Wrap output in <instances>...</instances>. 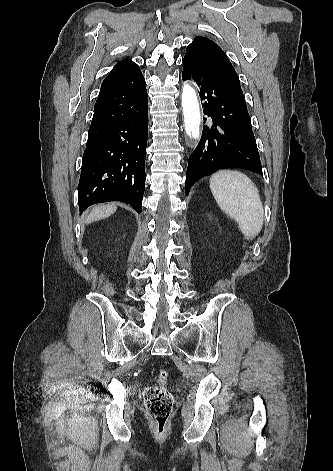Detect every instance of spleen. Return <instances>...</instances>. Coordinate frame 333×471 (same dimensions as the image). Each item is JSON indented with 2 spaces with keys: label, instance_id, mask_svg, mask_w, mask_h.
Here are the masks:
<instances>
[{
  "label": "spleen",
  "instance_id": "obj_1",
  "mask_svg": "<svg viewBox=\"0 0 333 471\" xmlns=\"http://www.w3.org/2000/svg\"><path fill=\"white\" fill-rule=\"evenodd\" d=\"M211 192L223 212L234 219L247 239L261 231L263 205L256 185L236 170H221L210 178Z\"/></svg>",
  "mask_w": 333,
  "mask_h": 471
}]
</instances>
